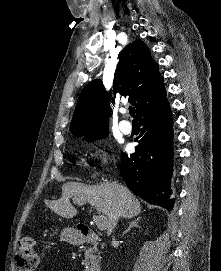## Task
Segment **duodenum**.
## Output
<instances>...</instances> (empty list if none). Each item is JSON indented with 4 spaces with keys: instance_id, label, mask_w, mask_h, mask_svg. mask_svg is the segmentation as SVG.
Here are the masks:
<instances>
[{
    "instance_id": "1",
    "label": "duodenum",
    "mask_w": 221,
    "mask_h": 271,
    "mask_svg": "<svg viewBox=\"0 0 221 271\" xmlns=\"http://www.w3.org/2000/svg\"><path fill=\"white\" fill-rule=\"evenodd\" d=\"M73 244L98 243L99 237L92 230H79L76 235L71 237ZM85 271H101L100 266L94 264L89 266Z\"/></svg>"
}]
</instances>
